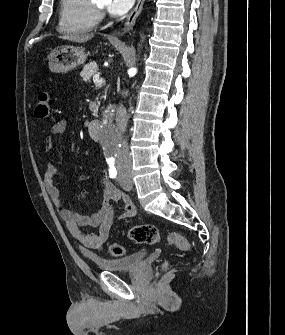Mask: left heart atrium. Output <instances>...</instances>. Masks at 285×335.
Wrapping results in <instances>:
<instances>
[{
  "label": "left heart atrium",
  "instance_id": "39dd6f15",
  "mask_svg": "<svg viewBox=\"0 0 285 335\" xmlns=\"http://www.w3.org/2000/svg\"><path fill=\"white\" fill-rule=\"evenodd\" d=\"M109 13L116 17L124 14L131 8L134 1H102Z\"/></svg>",
  "mask_w": 285,
  "mask_h": 335
}]
</instances>
